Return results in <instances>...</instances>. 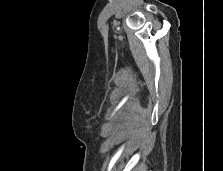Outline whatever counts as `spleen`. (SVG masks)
I'll list each match as a JSON object with an SVG mask.
<instances>
[{"label": "spleen", "instance_id": "spleen-1", "mask_svg": "<svg viewBox=\"0 0 223 171\" xmlns=\"http://www.w3.org/2000/svg\"><path fill=\"white\" fill-rule=\"evenodd\" d=\"M134 171H146L145 165L141 164L139 167H137Z\"/></svg>", "mask_w": 223, "mask_h": 171}]
</instances>
